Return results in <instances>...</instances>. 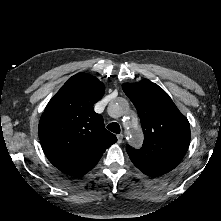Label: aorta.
Wrapping results in <instances>:
<instances>
[{"instance_id": "762f6f07", "label": "aorta", "mask_w": 221, "mask_h": 221, "mask_svg": "<svg viewBox=\"0 0 221 221\" xmlns=\"http://www.w3.org/2000/svg\"><path fill=\"white\" fill-rule=\"evenodd\" d=\"M114 107L120 109V106L118 104L114 105ZM124 128L127 133L129 143H131L132 145H138L139 125L137 123H133L132 118H129L124 121Z\"/></svg>"}]
</instances>
